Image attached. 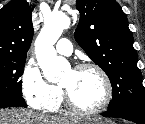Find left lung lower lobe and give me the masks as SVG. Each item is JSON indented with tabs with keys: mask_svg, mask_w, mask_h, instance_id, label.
I'll list each match as a JSON object with an SVG mask.
<instances>
[{
	"mask_svg": "<svg viewBox=\"0 0 145 124\" xmlns=\"http://www.w3.org/2000/svg\"><path fill=\"white\" fill-rule=\"evenodd\" d=\"M104 117H117L132 121L136 124H145V111L133 108L108 110L102 113Z\"/></svg>",
	"mask_w": 145,
	"mask_h": 124,
	"instance_id": "left-lung-lower-lobe-1",
	"label": "left lung lower lobe"
}]
</instances>
